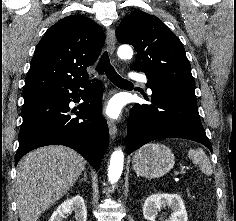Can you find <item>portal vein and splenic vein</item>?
<instances>
[{"mask_svg": "<svg viewBox=\"0 0 236 221\" xmlns=\"http://www.w3.org/2000/svg\"><path fill=\"white\" fill-rule=\"evenodd\" d=\"M185 173H186V170H181L180 172H178L179 175L185 174Z\"/></svg>", "mask_w": 236, "mask_h": 221, "instance_id": "18ae733b", "label": "portal vein and splenic vein"}]
</instances>
